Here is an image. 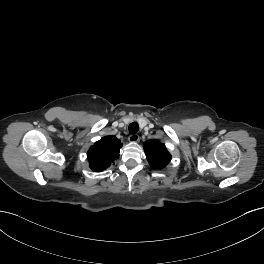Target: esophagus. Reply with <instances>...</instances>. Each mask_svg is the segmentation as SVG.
Segmentation results:
<instances>
[{
  "instance_id": "obj_1",
  "label": "esophagus",
  "mask_w": 264,
  "mask_h": 264,
  "mask_svg": "<svg viewBox=\"0 0 264 264\" xmlns=\"http://www.w3.org/2000/svg\"><path fill=\"white\" fill-rule=\"evenodd\" d=\"M140 139L139 135L138 134H132L128 137V140L129 142L131 143H135V142H138Z\"/></svg>"
}]
</instances>
